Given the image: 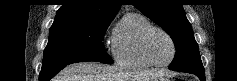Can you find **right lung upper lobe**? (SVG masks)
I'll return each mask as SVG.
<instances>
[{
    "mask_svg": "<svg viewBox=\"0 0 237 81\" xmlns=\"http://www.w3.org/2000/svg\"><path fill=\"white\" fill-rule=\"evenodd\" d=\"M120 6L121 0H64L55 19L76 17L113 20Z\"/></svg>",
    "mask_w": 237,
    "mask_h": 81,
    "instance_id": "right-lung-upper-lobe-1",
    "label": "right lung upper lobe"
}]
</instances>
